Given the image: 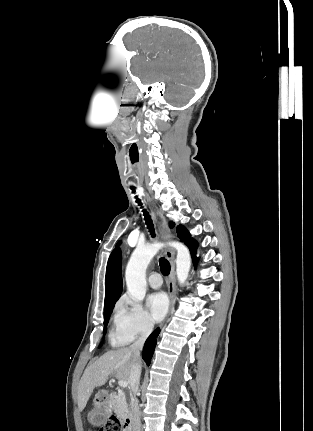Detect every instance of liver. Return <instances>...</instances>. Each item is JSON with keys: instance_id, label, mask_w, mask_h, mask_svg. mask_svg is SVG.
I'll return each mask as SVG.
<instances>
[{"instance_id": "6515ba94", "label": "liver", "mask_w": 313, "mask_h": 431, "mask_svg": "<svg viewBox=\"0 0 313 431\" xmlns=\"http://www.w3.org/2000/svg\"><path fill=\"white\" fill-rule=\"evenodd\" d=\"M133 362L134 356L130 348H120L106 352L90 364L86 368L78 386L79 411L86 407L93 390L105 385L110 375L113 374L117 380H124L129 383Z\"/></svg>"}]
</instances>
